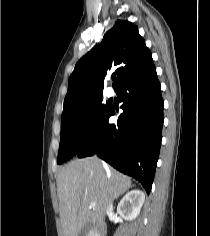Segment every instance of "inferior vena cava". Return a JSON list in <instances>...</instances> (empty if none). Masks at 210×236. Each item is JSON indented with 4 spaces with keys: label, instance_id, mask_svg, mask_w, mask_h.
I'll return each instance as SVG.
<instances>
[{
    "label": "inferior vena cava",
    "instance_id": "obj_1",
    "mask_svg": "<svg viewBox=\"0 0 210 236\" xmlns=\"http://www.w3.org/2000/svg\"><path fill=\"white\" fill-rule=\"evenodd\" d=\"M112 212H113V204H112V202H110V203L108 204L107 208H106V213H107V214H110V213H112Z\"/></svg>",
    "mask_w": 210,
    "mask_h": 236
}]
</instances>
